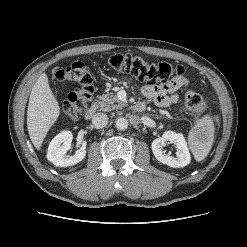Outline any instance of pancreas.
<instances>
[{
  "label": "pancreas",
  "mask_w": 247,
  "mask_h": 247,
  "mask_svg": "<svg viewBox=\"0 0 247 247\" xmlns=\"http://www.w3.org/2000/svg\"><path fill=\"white\" fill-rule=\"evenodd\" d=\"M100 110L107 112L114 109H122L125 104L120 101L113 93L100 95L97 100Z\"/></svg>",
  "instance_id": "1"
}]
</instances>
